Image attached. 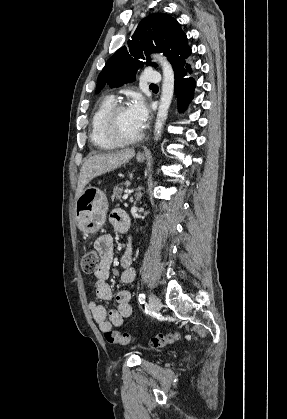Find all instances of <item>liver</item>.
<instances>
[{"label": "liver", "mask_w": 287, "mask_h": 419, "mask_svg": "<svg viewBox=\"0 0 287 419\" xmlns=\"http://www.w3.org/2000/svg\"><path fill=\"white\" fill-rule=\"evenodd\" d=\"M134 154V149H126L118 152L94 154L88 157L80 170L75 194L76 200L92 179L121 167L133 158Z\"/></svg>", "instance_id": "obj_1"}]
</instances>
